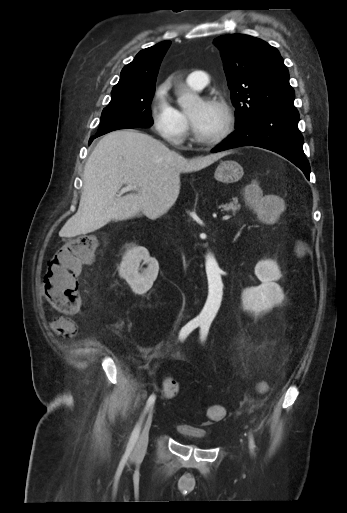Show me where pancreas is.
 I'll list each match as a JSON object with an SVG mask.
<instances>
[{"label":"pancreas","mask_w":347,"mask_h":513,"mask_svg":"<svg viewBox=\"0 0 347 513\" xmlns=\"http://www.w3.org/2000/svg\"><path fill=\"white\" fill-rule=\"evenodd\" d=\"M219 209L229 212L232 216H235L237 212L240 210V204L238 203V198L233 197L229 203L221 204Z\"/></svg>","instance_id":"pancreas-1"}]
</instances>
